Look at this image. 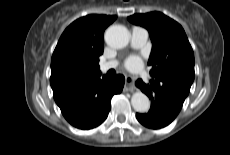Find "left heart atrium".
I'll list each match as a JSON object with an SVG mask.
<instances>
[{
    "instance_id": "1",
    "label": "left heart atrium",
    "mask_w": 230,
    "mask_h": 155,
    "mask_svg": "<svg viewBox=\"0 0 230 155\" xmlns=\"http://www.w3.org/2000/svg\"><path fill=\"white\" fill-rule=\"evenodd\" d=\"M124 65L127 69H130V70L136 69L141 65V58L139 56H135V55L129 56L125 60Z\"/></svg>"
}]
</instances>
